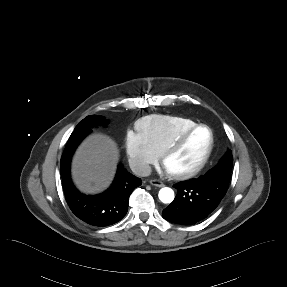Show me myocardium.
I'll use <instances>...</instances> for the list:
<instances>
[{
	"instance_id": "1",
	"label": "myocardium",
	"mask_w": 287,
	"mask_h": 287,
	"mask_svg": "<svg viewBox=\"0 0 287 287\" xmlns=\"http://www.w3.org/2000/svg\"><path fill=\"white\" fill-rule=\"evenodd\" d=\"M205 128L209 131L210 134V142L209 146L201 158V160L194 166L192 169L182 172H169L166 170L167 175L175 180H186L192 178L197 175L202 169L206 166L208 161L211 158L213 153L214 145H215V137L213 130L210 126L206 124H196L193 127L187 129L186 131L180 133L162 152L161 155V165L164 167L166 160L174 154L178 149L182 147V145L186 142V140L198 129Z\"/></svg>"
}]
</instances>
